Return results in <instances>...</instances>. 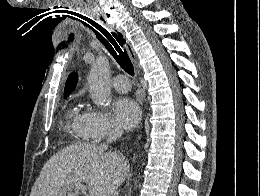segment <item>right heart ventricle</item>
<instances>
[{
  "instance_id": "e07e8e85",
  "label": "right heart ventricle",
  "mask_w": 260,
  "mask_h": 196,
  "mask_svg": "<svg viewBox=\"0 0 260 196\" xmlns=\"http://www.w3.org/2000/svg\"><path fill=\"white\" fill-rule=\"evenodd\" d=\"M82 115L83 114H80L79 111H74L72 113L71 117H72L73 126L75 128L80 127ZM79 143H88V142L86 140H84L83 142H79ZM50 192H69V191H67V190H50Z\"/></svg>"
}]
</instances>
